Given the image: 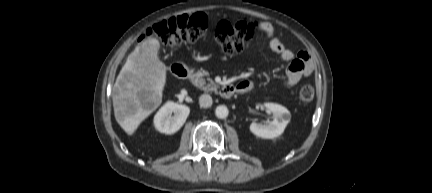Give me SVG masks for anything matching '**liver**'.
I'll use <instances>...</instances> for the list:
<instances>
[{"mask_svg":"<svg viewBox=\"0 0 432 193\" xmlns=\"http://www.w3.org/2000/svg\"><path fill=\"white\" fill-rule=\"evenodd\" d=\"M160 43L149 38L128 56L114 84L113 107L116 121L133 134L162 102L166 65L160 61Z\"/></svg>","mask_w":432,"mask_h":193,"instance_id":"obj_1","label":"liver"}]
</instances>
